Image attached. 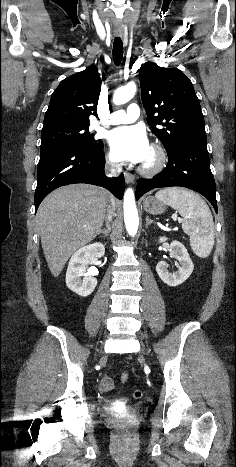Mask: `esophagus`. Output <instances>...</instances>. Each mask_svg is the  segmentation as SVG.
<instances>
[{"instance_id": "1", "label": "esophagus", "mask_w": 236, "mask_h": 467, "mask_svg": "<svg viewBox=\"0 0 236 467\" xmlns=\"http://www.w3.org/2000/svg\"><path fill=\"white\" fill-rule=\"evenodd\" d=\"M124 178H125V181H126L127 184L133 183L134 180H135L134 175H132V174L129 173V172H125V173H124Z\"/></svg>"}]
</instances>
